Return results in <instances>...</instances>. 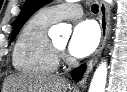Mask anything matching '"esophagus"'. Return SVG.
<instances>
[{
  "mask_svg": "<svg viewBox=\"0 0 127 92\" xmlns=\"http://www.w3.org/2000/svg\"><path fill=\"white\" fill-rule=\"evenodd\" d=\"M99 11H100L101 41L97 50L86 64V71L82 81L80 82V85L84 84L86 76L92 70L93 66L97 63L109 34L110 14H109V8L104 1L100 2Z\"/></svg>",
  "mask_w": 127,
  "mask_h": 92,
  "instance_id": "obj_1",
  "label": "esophagus"
}]
</instances>
